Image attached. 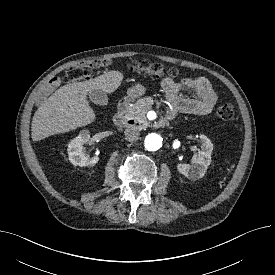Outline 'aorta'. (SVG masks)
<instances>
[{
	"label": "aorta",
	"instance_id": "1",
	"mask_svg": "<svg viewBox=\"0 0 275 275\" xmlns=\"http://www.w3.org/2000/svg\"><path fill=\"white\" fill-rule=\"evenodd\" d=\"M163 138L156 133H150L145 137V148L149 151H156L162 147Z\"/></svg>",
	"mask_w": 275,
	"mask_h": 275
}]
</instances>
